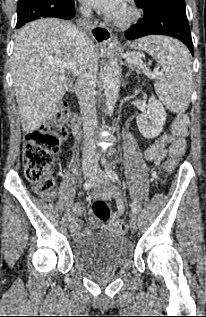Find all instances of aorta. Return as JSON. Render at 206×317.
<instances>
[{"label":"aorta","mask_w":206,"mask_h":317,"mask_svg":"<svg viewBox=\"0 0 206 317\" xmlns=\"http://www.w3.org/2000/svg\"><path fill=\"white\" fill-rule=\"evenodd\" d=\"M120 84V67L116 60L109 63L105 71L104 90L106 96V106L110 114L113 113Z\"/></svg>","instance_id":"1"}]
</instances>
